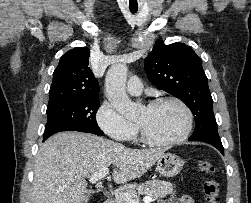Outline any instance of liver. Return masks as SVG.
<instances>
[{
    "label": "liver",
    "instance_id": "liver-1",
    "mask_svg": "<svg viewBox=\"0 0 251 203\" xmlns=\"http://www.w3.org/2000/svg\"><path fill=\"white\" fill-rule=\"evenodd\" d=\"M166 150H134L92 134L57 133L37 154L31 203H81L85 177L112 165L115 183L125 184L141 177Z\"/></svg>",
    "mask_w": 251,
    "mask_h": 203
}]
</instances>
